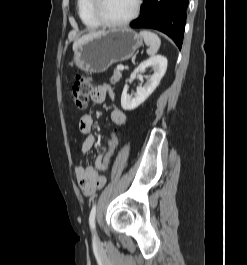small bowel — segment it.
<instances>
[{"instance_id": "obj_1", "label": "small bowel", "mask_w": 247, "mask_h": 265, "mask_svg": "<svg viewBox=\"0 0 247 265\" xmlns=\"http://www.w3.org/2000/svg\"><path fill=\"white\" fill-rule=\"evenodd\" d=\"M107 96L113 97V91L105 83L98 84L91 94V99L95 104L102 103ZM111 120L115 125H123L127 116L125 112L119 108H114L110 114ZM93 118L91 115H83L79 121V130L85 134L81 150L83 153L88 152L94 146L96 137L91 133ZM103 154H98L94 166H85L82 163L75 168L77 182L83 194L86 196L93 195L97 190L101 189L106 182V178L101 171Z\"/></svg>"}]
</instances>
